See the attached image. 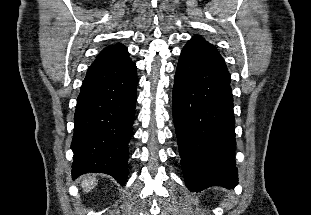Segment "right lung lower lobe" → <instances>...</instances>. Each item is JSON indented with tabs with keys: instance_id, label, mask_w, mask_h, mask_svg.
<instances>
[{
	"instance_id": "right-lung-lower-lobe-1",
	"label": "right lung lower lobe",
	"mask_w": 311,
	"mask_h": 215,
	"mask_svg": "<svg viewBox=\"0 0 311 215\" xmlns=\"http://www.w3.org/2000/svg\"><path fill=\"white\" fill-rule=\"evenodd\" d=\"M136 65L93 64L82 83L74 116L72 177L88 172L128 175V143L135 117Z\"/></svg>"
}]
</instances>
